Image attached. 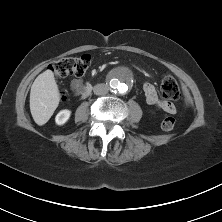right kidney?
I'll return each instance as SVG.
<instances>
[{
	"mask_svg": "<svg viewBox=\"0 0 222 222\" xmlns=\"http://www.w3.org/2000/svg\"><path fill=\"white\" fill-rule=\"evenodd\" d=\"M71 116V111L68 109L61 110L55 117V122L57 125L65 124Z\"/></svg>",
	"mask_w": 222,
	"mask_h": 222,
	"instance_id": "1",
	"label": "right kidney"
}]
</instances>
